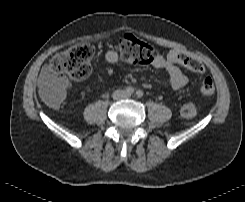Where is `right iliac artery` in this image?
Returning <instances> with one entry per match:
<instances>
[{"instance_id": "right-iliac-artery-1", "label": "right iliac artery", "mask_w": 245, "mask_h": 202, "mask_svg": "<svg viewBox=\"0 0 245 202\" xmlns=\"http://www.w3.org/2000/svg\"><path fill=\"white\" fill-rule=\"evenodd\" d=\"M134 91H135L134 88L131 87V86H129V87L126 88V93L129 94V95L133 94Z\"/></svg>"}]
</instances>
